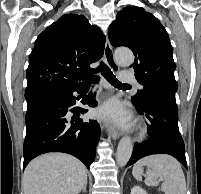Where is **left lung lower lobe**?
<instances>
[{
  "mask_svg": "<svg viewBox=\"0 0 201 194\" xmlns=\"http://www.w3.org/2000/svg\"><path fill=\"white\" fill-rule=\"evenodd\" d=\"M139 114L149 120L150 139L135 144L132 156L126 166L151 154H169L187 168L185 146L178 128V108L174 98L157 95L142 106H137Z\"/></svg>",
  "mask_w": 201,
  "mask_h": 194,
  "instance_id": "1",
  "label": "left lung lower lobe"
}]
</instances>
